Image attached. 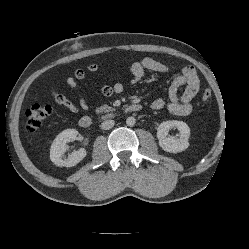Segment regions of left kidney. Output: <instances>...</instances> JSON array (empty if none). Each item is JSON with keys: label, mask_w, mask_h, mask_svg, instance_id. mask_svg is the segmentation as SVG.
<instances>
[{"label": "left kidney", "mask_w": 249, "mask_h": 249, "mask_svg": "<svg viewBox=\"0 0 249 249\" xmlns=\"http://www.w3.org/2000/svg\"><path fill=\"white\" fill-rule=\"evenodd\" d=\"M177 128L179 131V137H168L169 129ZM190 136V128L183 121H164L157 129V138L159 140V146L166 152L178 153L189 147L188 138Z\"/></svg>", "instance_id": "obj_1"}]
</instances>
